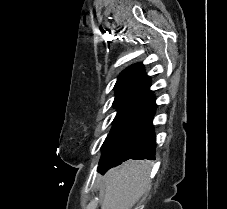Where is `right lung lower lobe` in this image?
Instances as JSON below:
<instances>
[{
    "label": "right lung lower lobe",
    "instance_id": "98d812e1",
    "mask_svg": "<svg viewBox=\"0 0 227 209\" xmlns=\"http://www.w3.org/2000/svg\"><path fill=\"white\" fill-rule=\"evenodd\" d=\"M152 119L153 116L141 133H139L135 138L122 146L116 153L113 154V156L110 158L111 163L108 169L115 167L128 159H155L156 139L153 131ZM98 170L102 174L106 172H102L100 169Z\"/></svg>",
    "mask_w": 227,
    "mask_h": 209
}]
</instances>
